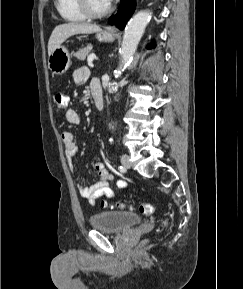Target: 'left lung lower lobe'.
Instances as JSON below:
<instances>
[{
    "mask_svg": "<svg viewBox=\"0 0 243 289\" xmlns=\"http://www.w3.org/2000/svg\"><path fill=\"white\" fill-rule=\"evenodd\" d=\"M135 7L136 0H121V4L119 6L117 14L109 18V23L115 24L119 29L122 30L131 15L133 14ZM154 47L155 45L151 44L148 48L152 49Z\"/></svg>",
    "mask_w": 243,
    "mask_h": 289,
    "instance_id": "1",
    "label": "left lung lower lobe"
}]
</instances>
